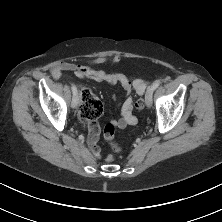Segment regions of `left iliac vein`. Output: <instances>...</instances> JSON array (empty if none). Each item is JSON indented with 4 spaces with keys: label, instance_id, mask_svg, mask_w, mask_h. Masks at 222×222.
I'll use <instances>...</instances> for the list:
<instances>
[{
    "label": "left iliac vein",
    "instance_id": "4c4485c4",
    "mask_svg": "<svg viewBox=\"0 0 222 222\" xmlns=\"http://www.w3.org/2000/svg\"><path fill=\"white\" fill-rule=\"evenodd\" d=\"M152 100H153V89L151 86L147 89L146 94H145V103L147 107L152 106Z\"/></svg>",
    "mask_w": 222,
    "mask_h": 222
}]
</instances>
